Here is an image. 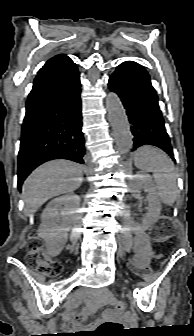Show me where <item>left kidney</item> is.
<instances>
[{"label": "left kidney", "instance_id": "obj_1", "mask_svg": "<svg viewBox=\"0 0 194 336\" xmlns=\"http://www.w3.org/2000/svg\"><path fill=\"white\" fill-rule=\"evenodd\" d=\"M132 192L139 193L144 190L148 193V212L142 219L141 224H135V227L140 230H147L158 219L161 212V202L156 191L155 184L149 174L137 173L132 179Z\"/></svg>", "mask_w": 194, "mask_h": 336}]
</instances>
